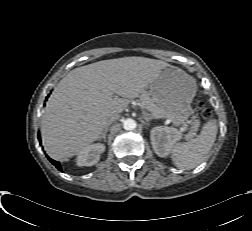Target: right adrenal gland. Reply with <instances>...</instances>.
<instances>
[{
    "label": "right adrenal gland",
    "instance_id": "obj_1",
    "mask_svg": "<svg viewBox=\"0 0 252 231\" xmlns=\"http://www.w3.org/2000/svg\"><path fill=\"white\" fill-rule=\"evenodd\" d=\"M107 132H108V127L105 128V130L103 131V133H102V135L100 137V139H103L104 142L106 141V134H107Z\"/></svg>",
    "mask_w": 252,
    "mask_h": 231
}]
</instances>
